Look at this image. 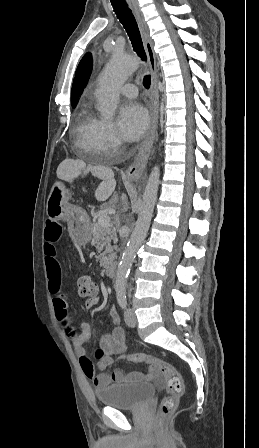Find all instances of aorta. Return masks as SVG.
Masks as SVG:
<instances>
[{"instance_id": "aorta-1", "label": "aorta", "mask_w": 259, "mask_h": 448, "mask_svg": "<svg viewBox=\"0 0 259 448\" xmlns=\"http://www.w3.org/2000/svg\"><path fill=\"white\" fill-rule=\"evenodd\" d=\"M138 66V59L126 54L113 56L106 65L100 76L98 88L96 90L98 110L105 119H112L114 117L119 101V90L126 79L132 75ZM159 183L160 170L158 166H154L145 187L135 228L130 236L117 269L115 287L118 294H122L125 291V285L132 263L149 230L157 199Z\"/></svg>"}]
</instances>
